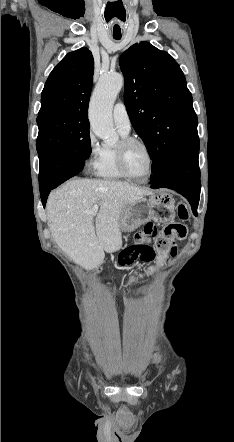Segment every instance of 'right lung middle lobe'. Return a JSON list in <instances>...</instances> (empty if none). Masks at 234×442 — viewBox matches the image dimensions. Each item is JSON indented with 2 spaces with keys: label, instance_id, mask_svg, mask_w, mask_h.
<instances>
[{
  "label": "right lung middle lobe",
  "instance_id": "dd1d6c3e",
  "mask_svg": "<svg viewBox=\"0 0 234 442\" xmlns=\"http://www.w3.org/2000/svg\"><path fill=\"white\" fill-rule=\"evenodd\" d=\"M37 152L69 150L86 160L91 154L87 115L52 114L37 118Z\"/></svg>",
  "mask_w": 234,
  "mask_h": 442
}]
</instances>
